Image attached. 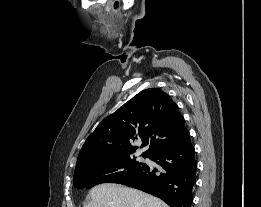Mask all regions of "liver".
I'll return each instance as SVG.
<instances>
[{
	"label": "liver",
	"mask_w": 261,
	"mask_h": 207,
	"mask_svg": "<svg viewBox=\"0 0 261 207\" xmlns=\"http://www.w3.org/2000/svg\"><path fill=\"white\" fill-rule=\"evenodd\" d=\"M85 207H169L159 198L120 184L104 183L89 191Z\"/></svg>",
	"instance_id": "6515ba94"
}]
</instances>
